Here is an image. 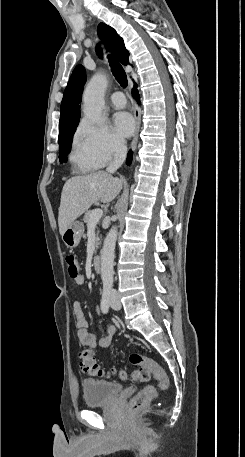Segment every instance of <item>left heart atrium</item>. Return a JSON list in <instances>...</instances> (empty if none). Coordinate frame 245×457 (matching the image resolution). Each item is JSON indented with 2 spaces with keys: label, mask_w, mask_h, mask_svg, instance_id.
<instances>
[{
  "label": "left heart atrium",
  "mask_w": 245,
  "mask_h": 457,
  "mask_svg": "<svg viewBox=\"0 0 245 457\" xmlns=\"http://www.w3.org/2000/svg\"><path fill=\"white\" fill-rule=\"evenodd\" d=\"M114 126L117 133L122 137H129L135 128L133 118L125 112H120L114 116Z\"/></svg>",
  "instance_id": "left-heart-atrium-1"
}]
</instances>
